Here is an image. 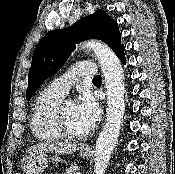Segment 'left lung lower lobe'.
I'll return each instance as SVG.
<instances>
[{"mask_svg": "<svg viewBox=\"0 0 175 174\" xmlns=\"http://www.w3.org/2000/svg\"><path fill=\"white\" fill-rule=\"evenodd\" d=\"M124 50H125V47H123V48L117 53V56H118V58L122 61L123 64H126V58H125V55H124Z\"/></svg>", "mask_w": 175, "mask_h": 174, "instance_id": "left-lung-lower-lobe-1", "label": "left lung lower lobe"}]
</instances>
